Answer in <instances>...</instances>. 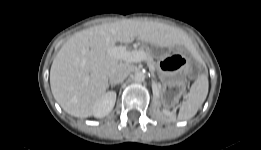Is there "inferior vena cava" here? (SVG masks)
Returning <instances> with one entry per match:
<instances>
[{
  "label": "inferior vena cava",
  "mask_w": 261,
  "mask_h": 150,
  "mask_svg": "<svg viewBox=\"0 0 261 150\" xmlns=\"http://www.w3.org/2000/svg\"><path fill=\"white\" fill-rule=\"evenodd\" d=\"M128 74L129 69L127 65H125L124 63H120L110 69L108 76L110 82L121 83L127 78Z\"/></svg>",
  "instance_id": "inferior-vena-cava-1"
}]
</instances>
